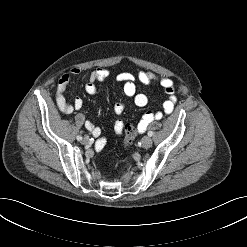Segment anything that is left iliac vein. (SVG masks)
Returning <instances> with one entry per match:
<instances>
[{
    "mask_svg": "<svg viewBox=\"0 0 247 247\" xmlns=\"http://www.w3.org/2000/svg\"><path fill=\"white\" fill-rule=\"evenodd\" d=\"M152 145V139L148 136L143 137L142 139V146L144 148H150Z\"/></svg>",
    "mask_w": 247,
    "mask_h": 247,
    "instance_id": "1",
    "label": "left iliac vein"
}]
</instances>
